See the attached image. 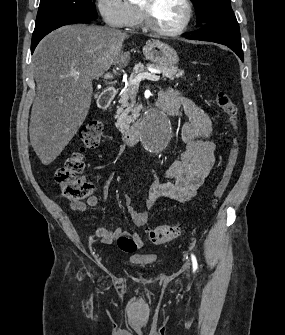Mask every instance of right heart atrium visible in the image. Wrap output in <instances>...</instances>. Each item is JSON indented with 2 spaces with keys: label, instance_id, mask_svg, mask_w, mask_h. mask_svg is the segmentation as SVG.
Here are the masks:
<instances>
[{
  "label": "right heart atrium",
  "instance_id": "obj_1",
  "mask_svg": "<svg viewBox=\"0 0 285 335\" xmlns=\"http://www.w3.org/2000/svg\"><path fill=\"white\" fill-rule=\"evenodd\" d=\"M100 12L105 24L113 29L131 25L136 16V11L129 1H101Z\"/></svg>",
  "mask_w": 285,
  "mask_h": 335
}]
</instances>
